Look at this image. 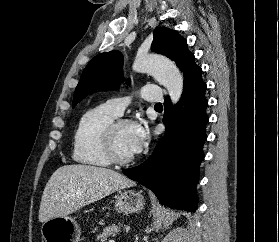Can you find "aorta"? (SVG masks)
Here are the masks:
<instances>
[{
    "mask_svg": "<svg viewBox=\"0 0 279 242\" xmlns=\"http://www.w3.org/2000/svg\"><path fill=\"white\" fill-rule=\"evenodd\" d=\"M133 70L150 73L167 89L174 104L179 101L183 91V76L171 60L154 54L138 55L133 63Z\"/></svg>",
    "mask_w": 279,
    "mask_h": 242,
    "instance_id": "obj_1",
    "label": "aorta"
}]
</instances>
